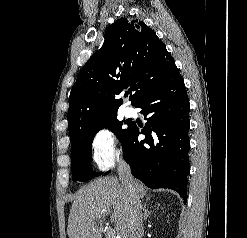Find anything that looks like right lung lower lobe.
<instances>
[{
	"label": "right lung lower lobe",
	"instance_id": "obj_1",
	"mask_svg": "<svg viewBox=\"0 0 247 238\" xmlns=\"http://www.w3.org/2000/svg\"><path fill=\"white\" fill-rule=\"evenodd\" d=\"M135 107L142 109L147 123L141 129L131 123L122 146L131 173L152 189L177 191L186 203L189 99L177 67ZM139 134H144L145 139L139 141Z\"/></svg>",
	"mask_w": 247,
	"mask_h": 238
}]
</instances>
